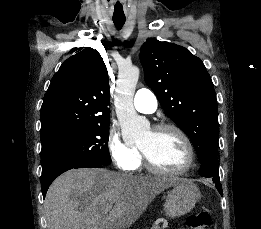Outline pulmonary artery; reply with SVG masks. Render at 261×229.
I'll list each match as a JSON object with an SVG mask.
<instances>
[{
	"instance_id": "1",
	"label": "pulmonary artery",
	"mask_w": 261,
	"mask_h": 229,
	"mask_svg": "<svg viewBox=\"0 0 261 229\" xmlns=\"http://www.w3.org/2000/svg\"><path fill=\"white\" fill-rule=\"evenodd\" d=\"M135 109L144 114H153L158 107L155 94L149 89H139L134 97Z\"/></svg>"
}]
</instances>
